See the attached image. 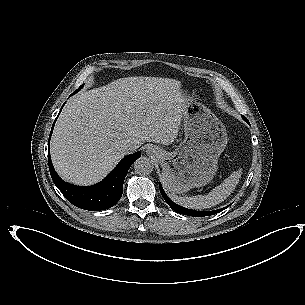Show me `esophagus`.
Returning <instances> with one entry per match:
<instances>
[{"label":"esophagus","mask_w":305,"mask_h":305,"mask_svg":"<svg viewBox=\"0 0 305 305\" xmlns=\"http://www.w3.org/2000/svg\"><path fill=\"white\" fill-rule=\"evenodd\" d=\"M146 152H147V154H152L153 150L152 149H148Z\"/></svg>","instance_id":"obj_1"}]
</instances>
